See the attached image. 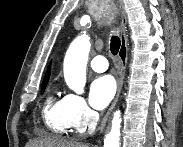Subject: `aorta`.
Instances as JSON below:
<instances>
[{"mask_svg": "<svg viewBox=\"0 0 183 147\" xmlns=\"http://www.w3.org/2000/svg\"><path fill=\"white\" fill-rule=\"evenodd\" d=\"M90 37L78 36L70 45L64 58V79L68 87L77 94L84 93L86 84V64L90 51ZM120 111L114 113L112 126L104 139V147H120Z\"/></svg>", "mask_w": 183, "mask_h": 147, "instance_id": "1", "label": "aorta"}]
</instances>
